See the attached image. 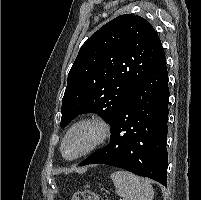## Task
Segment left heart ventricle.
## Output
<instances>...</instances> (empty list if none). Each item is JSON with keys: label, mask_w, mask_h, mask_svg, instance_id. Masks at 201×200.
Here are the masks:
<instances>
[{"label": "left heart ventricle", "mask_w": 201, "mask_h": 200, "mask_svg": "<svg viewBox=\"0 0 201 200\" xmlns=\"http://www.w3.org/2000/svg\"><path fill=\"white\" fill-rule=\"evenodd\" d=\"M96 132L88 126L76 128L67 138L64 153L67 157H74L87 149L95 138Z\"/></svg>", "instance_id": "obj_1"}]
</instances>
